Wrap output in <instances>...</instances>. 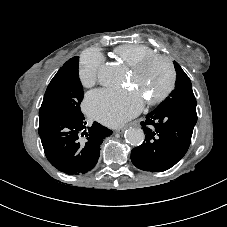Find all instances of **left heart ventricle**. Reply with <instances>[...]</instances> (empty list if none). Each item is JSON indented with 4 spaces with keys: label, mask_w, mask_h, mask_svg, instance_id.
Wrapping results in <instances>:
<instances>
[{
    "label": "left heart ventricle",
    "mask_w": 227,
    "mask_h": 227,
    "mask_svg": "<svg viewBox=\"0 0 227 227\" xmlns=\"http://www.w3.org/2000/svg\"><path fill=\"white\" fill-rule=\"evenodd\" d=\"M129 81L136 86L141 96L152 99L166 88L169 81L168 68L164 62L156 61L140 75L132 72Z\"/></svg>",
    "instance_id": "b2bd125f"
}]
</instances>
